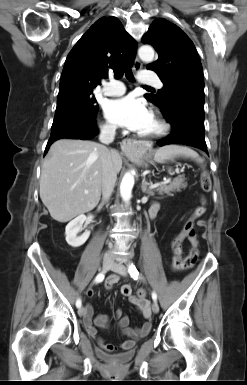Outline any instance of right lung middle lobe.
I'll use <instances>...</instances> for the list:
<instances>
[{"label": "right lung middle lobe", "mask_w": 247, "mask_h": 385, "mask_svg": "<svg viewBox=\"0 0 247 385\" xmlns=\"http://www.w3.org/2000/svg\"><path fill=\"white\" fill-rule=\"evenodd\" d=\"M93 90L73 89L59 92L53 125L73 117H95L98 110Z\"/></svg>", "instance_id": "dd1d6c3e"}]
</instances>
